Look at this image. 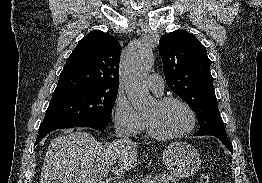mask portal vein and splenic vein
<instances>
[{"label": "portal vein and splenic vein", "instance_id": "portal-vein-and-splenic-vein-1", "mask_svg": "<svg viewBox=\"0 0 262 183\" xmlns=\"http://www.w3.org/2000/svg\"><path fill=\"white\" fill-rule=\"evenodd\" d=\"M109 171H104L99 175V178H106L108 176ZM119 183H133L132 181H128V180H122L119 181Z\"/></svg>", "mask_w": 262, "mask_h": 183}]
</instances>
